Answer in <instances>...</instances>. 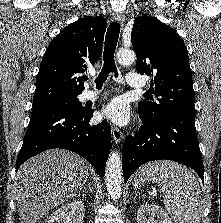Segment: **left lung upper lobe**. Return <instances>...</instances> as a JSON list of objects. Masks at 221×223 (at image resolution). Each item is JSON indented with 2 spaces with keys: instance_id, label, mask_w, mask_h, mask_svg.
<instances>
[{
  "instance_id": "obj_1",
  "label": "left lung upper lobe",
  "mask_w": 221,
  "mask_h": 223,
  "mask_svg": "<svg viewBox=\"0 0 221 223\" xmlns=\"http://www.w3.org/2000/svg\"><path fill=\"white\" fill-rule=\"evenodd\" d=\"M131 42L137 70L153 76L151 89L157 97V102L141 101L139 111L151 119L173 113L195 116L188 53L176 31L155 17L141 16L134 21Z\"/></svg>"
}]
</instances>
